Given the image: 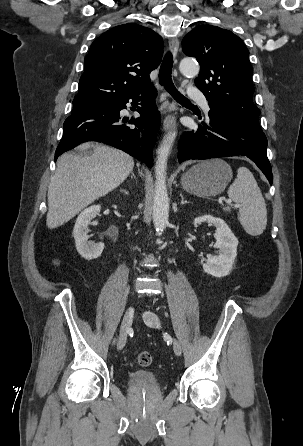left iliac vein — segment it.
<instances>
[{"mask_svg": "<svg viewBox=\"0 0 303 446\" xmlns=\"http://www.w3.org/2000/svg\"><path fill=\"white\" fill-rule=\"evenodd\" d=\"M143 319L144 322L150 327L160 326V320L158 316L152 311H145L143 313ZM173 350L177 356H180L182 354V347L176 339L173 340Z\"/></svg>", "mask_w": 303, "mask_h": 446, "instance_id": "obj_1", "label": "left iliac vein"}]
</instances>
